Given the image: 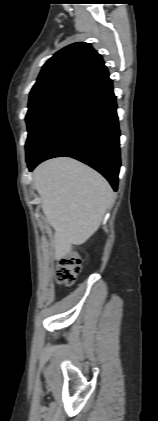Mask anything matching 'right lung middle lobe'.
<instances>
[{
	"label": "right lung middle lobe",
	"mask_w": 158,
	"mask_h": 421,
	"mask_svg": "<svg viewBox=\"0 0 158 421\" xmlns=\"http://www.w3.org/2000/svg\"><path fill=\"white\" fill-rule=\"evenodd\" d=\"M79 87L80 85L75 83H59L30 93L26 115L28 127L27 159L33 153L54 115Z\"/></svg>",
	"instance_id": "obj_1"
}]
</instances>
